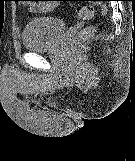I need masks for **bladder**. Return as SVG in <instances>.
<instances>
[{
  "mask_svg": "<svg viewBox=\"0 0 135 161\" xmlns=\"http://www.w3.org/2000/svg\"><path fill=\"white\" fill-rule=\"evenodd\" d=\"M66 26L58 17H35L25 25L22 41L25 49L29 51H42L54 47Z\"/></svg>",
  "mask_w": 135,
  "mask_h": 161,
  "instance_id": "bladder-1",
  "label": "bladder"
}]
</instances>
